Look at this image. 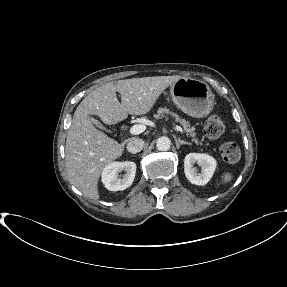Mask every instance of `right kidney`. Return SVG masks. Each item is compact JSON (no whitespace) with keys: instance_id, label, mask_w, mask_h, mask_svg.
<instances>
[{"instance_id":"right-kidney-1","label":"right kidney","mask_w":287,"mask_h":287,"mask_svg":"<svg viewBox=\"0 0 287 287\" xmlns=\"http://www.w3.org/2000/svg\"><path fill=\"white\" fill-rule=\"evenodd\" d=\"M136 164L131 161L112 162L108 164L102 172V182L110 191H120L130 187L136 174ZM125 170L123 178H119V173Z\"/></svg>"}]
</instances>
